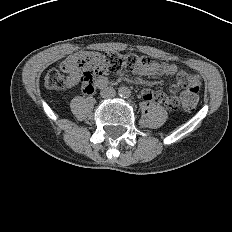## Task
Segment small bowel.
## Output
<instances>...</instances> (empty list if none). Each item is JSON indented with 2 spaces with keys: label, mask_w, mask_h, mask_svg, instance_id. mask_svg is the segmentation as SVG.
Instances as JSON below:
<instances>
[{
  "label": "small bowel",
  "mask_w": 232,
  "mask_h": 232,
  "mask_svg": "<svg viewBox=\"0 0 232 232\" xmlns=\"http://www.w3.org/2000/svg\"><path fill=\"white\" fill-rule=\"evenodd\" d=\"M64 71L68 73L67 85L68 87L75 86L80 79V70L75 59L70 57L64 63ZM139 75L142 76H160V75H177V82L180 80H186L191 87H196L199 89L201 81L198 75L188 74L185 71L179 70L175 64L171 63H159L157 61H151L150 65L143 69L135 70ZM107 85V78L101 76L97 81L98 87H105ZM151 89H144L142 91V97L145 101L155 100L156 94Z\"/></svg>",
  "instance_id": "1"
}]
</instances>
